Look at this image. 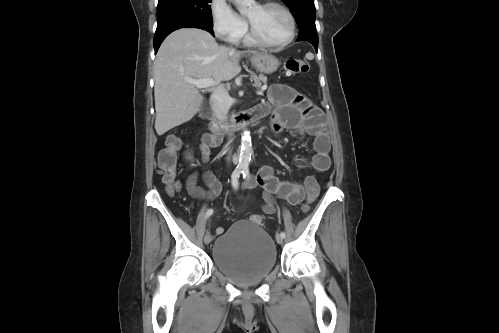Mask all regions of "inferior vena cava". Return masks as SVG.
<instances>
[{"instance_id": "602c4592", "label": "inferior vena cava", "mask_w": 499, "mask_h": 333, "mask_svg": "<svg viewBox=\"0 0 499 333\" xmlns=\"http://www.w3.org/2000/svg\"><path fill=\"white\" fill-rule=\"evenodd\" d=\"M210 105L213 114L222 122L228 119V112L231 107L230 96L223 85L217 86L211 94Z\"/></svg>"}]
</instances>
